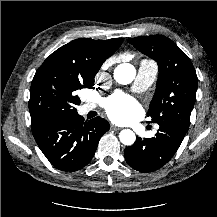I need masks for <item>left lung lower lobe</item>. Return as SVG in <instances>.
<instances>
[{
    "mask_svg": "<svg viewBox=\"0 0 217 217\" xmlns=\"http://www.w3.org/2000/svg\"><path fill=\"white\" fill-rule=\"evenodd\" d=\"M156 137H137L132 146L125 148V160L140 172H153L164 166L176 153L188 130L171 122L159 125Z\"/></svg>",
    "mask_w": 217,
    "mask_h": 217,
    "instance_id": "obj_1",
    "label": "left lung lower lobe"
}]
</instances>
